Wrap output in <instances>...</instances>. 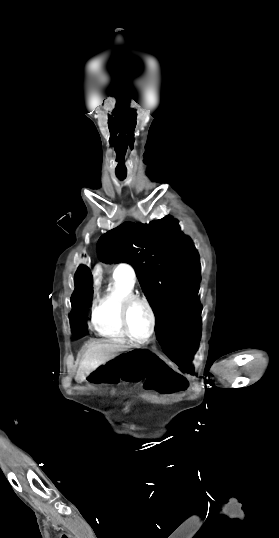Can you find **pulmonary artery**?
<instances>
[{
  "mask_svg": "<svg viewBox=\"0 0 279 538\" xmlns=\"http://www.w3.org/2000/svg\"><path fill=\"white\" fill-rule=\"evenodd\" d=\"M121 275L126 276V278L131 282L135 281L134 270L130 267V265L126 263H119L115 265L113 268V276H121Z\"/></svg>",
  "mask_w": 279,
  "mask_h": 538,
  "instance_id": "obj_1",
  "label": "pulmonary artery"
}]
</instances>
